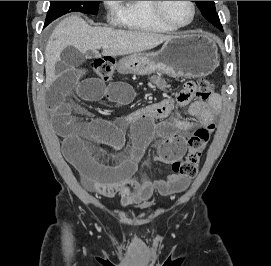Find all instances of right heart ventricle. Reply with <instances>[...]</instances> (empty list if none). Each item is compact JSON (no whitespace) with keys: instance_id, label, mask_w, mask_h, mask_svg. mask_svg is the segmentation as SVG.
Returning <instances> with one entry per match:
<instances>
[{"instance_id":"e07e8e85","label":"right heart ventricle","mask_w":271,"mask_h":266,"mask_svg":"<svg viewBox=\"0 0 271 266\" xmlns=\"http://www.w3.org/2000/svg\"><path fill=\"white\" fill-rule=\"evenodd\" d=\"M118 17L120 23L130 30L152 33L173 31L154 15L150 1H120Z\"/></svg>"}]
</instances>
